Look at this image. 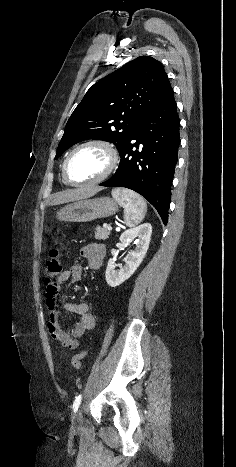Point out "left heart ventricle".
Wrapping results in <instances>:
<instances>
[{
	"mask_svg": "<svg viewBox=\"0 0 236 467\" xmlns=\"http://www.w3.org/2000/svg\"><path fill=\"white\" fill-rule=\"evenodd\" d=\"M108 156L99 147H85L77 151L68 166L69 176L75 182H87L99 177L107 168Z\"/></svg>",
	"mask_w": 236,
	"mask_h": 467,
	"instance_id": "b2bd125f",
	"label": "left heart ventricle"
}]
</instances>
